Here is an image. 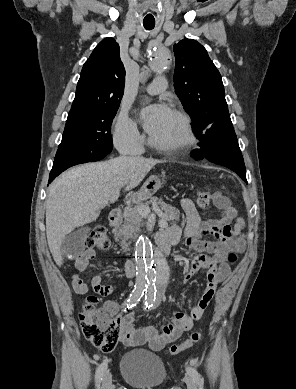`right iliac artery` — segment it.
<instances>
[{
	"label": "right iliac artery",
	"instance_id": "82829eb1",
	"mask_svg": "<svg viewBox=\"0 0 296 389\" xmlns=\"http://www.w3.org/2000/svg\"><path fill=\"white\" fill-rule=\"evenodd\" d=\"M144 291H145V289H143L142 287H137V288L135 287V289L133 290L132 294L130 295V297L127 300V308H132V307L136 306V304L139 302V300L143 296ZM106 370H107V362L104 361L98 367V369L96 371V375H95L96 386L98 388L100 386V383L102 381V378H103Z\"/></svg>",
	"mask_w": 296,
	"mask_h": 389
}]
</instances>
